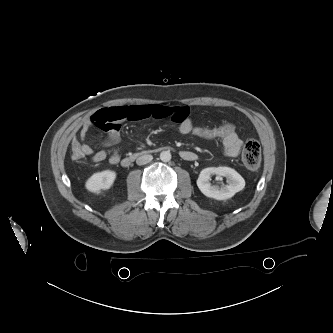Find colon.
Returning a JSON list of instances; mask_svg holds the SVG:
<instances>
[{
  "instance_id": "colon-1",
  "label": "colon",
  "mask_w": 333,
  "mask_h": 333,
  "mask_svg": "<svg viewBox=\"0 0 333 333\" xmlns=\"http://www.w3.org/2000/svg\"><path fill=\"white\" fill-rule=\"evenodd\" d=\"M233 127L230 124L223 123L219 126L212 128H202L201 130L194 133L189 131L185 133L186 135H191L199 138H204L208 140L221 139L224 137ZM184 134V133H183ZM71 157L73 160H80L85 157L82 146L80 142L74 139L71 142ZM242 161L244 165L251 169L256 170L260 166L261 162V147L257 140L248 139L245 142L242 151Z\"/></svg>"
}]
</instances>
